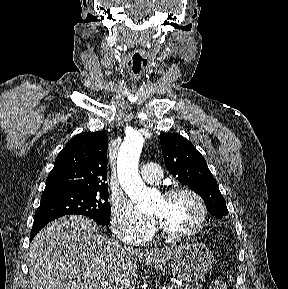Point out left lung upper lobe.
<instances>
[{"instance_id":"left-lung-upper-lobe-1","label":"left lung upper lobe","mask_w":288,"mask_h":289,"mask_svg":"<svg viewBox=\"0 0 288 289\" xmlns=\"http://www.w3.org/2000/svg\"><path fill=\"white\" fill-rule=\"evenodd\" d=\"M160 143L170 173L203 198L211 215L217 218L227 215L226 202L217 182L193 144L178 133L161 134Z\"/></svg>"}]
</instances>
